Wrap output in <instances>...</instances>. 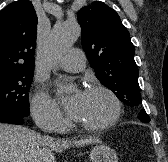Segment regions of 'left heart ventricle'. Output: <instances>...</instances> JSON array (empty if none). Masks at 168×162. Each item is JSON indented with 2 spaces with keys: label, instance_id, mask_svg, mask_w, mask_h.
Listing matches in <instances>:
<instances>
[{
  "label": "left heart ventricle",
  "instance_id": "obj_1",
  "mask_svg": "<svg viewBox=\"0 0 168 162\" xmlns=\"http://www.w3.org/2000/svg\"><path fill=\"white\" fill-rule=\"evenodd\" d=\"M111 113L112 103L106 94L87 91L81 113L77 119L87 124H99L105 121Z\"/></svg>",
  "mask_w": 168,
  "mask_h": 162
}]
</instances>
